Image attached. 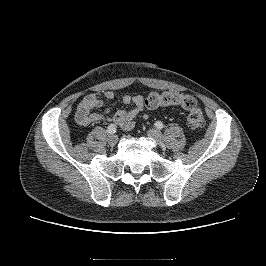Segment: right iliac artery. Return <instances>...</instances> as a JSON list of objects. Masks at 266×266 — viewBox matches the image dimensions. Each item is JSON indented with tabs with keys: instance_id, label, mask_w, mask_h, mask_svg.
Here are the masks:
<instances>
[{
	"instance_id": "right-iliac-artery-1",
	"label": "right iliac artery",
	"mask_w": 266,
	"mask_h": 266,
	"mask_svg": "<svg viewBox=\"0 0 266 266\" xmlns=\"http://www.w3.org/2000/svg\"><path fill=\"white\" fill-rule=\"evenodd\" d=\"M116 130H117V127H116V125H114V124H110V125L107 127V132H108L109 134H114V133L116 132Z\"/></svg>"
}]
</instances>
